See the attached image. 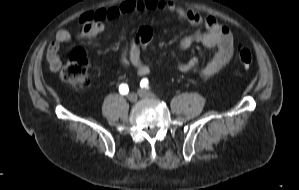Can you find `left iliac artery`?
<instances>
[{"label":"left iliac artery","mask_w":299,"mask_h":190,"mask_svg":"<svg viewBox=\"0 0 299 190\" xmlns=\"http://www.w3.org/2000/svg\"><path fill=\"white\" fill-rule=\"evenodd\" d=\"M140 86L142 88H148V79L147 78H143L140 82Z\"/></svg>","instance_id":"44dca946"}]
</instances>
